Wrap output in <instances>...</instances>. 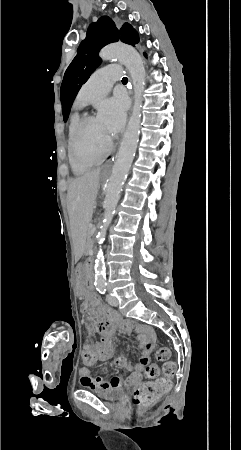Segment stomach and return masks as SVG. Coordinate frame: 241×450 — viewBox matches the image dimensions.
Masks as SVG:
<instances>
[{"mask_svg": "<svg viewBox=\"0 0 241 450\" xmlns=\"http://www.w3.org/2000/svg\"><path fill=\"white\" fill-rule=\"evenodd\" d=\"M84 270L81 264H79L77 266L76 269V278H75V283H76V287L78 288V290L83 291L84 289V284H85V278H84Z\"/></svg>", "mask_w": 241, "mask_h": 450, "instance_id": "0dacf381", "label": "stomach"}]
</instances>
